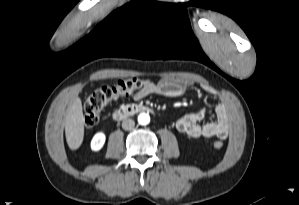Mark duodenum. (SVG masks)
<instances>
[{"mask_svg":"<svg viewBox=\"0 0 299 205\" xmlns=\"http://www.w3.org/2000/svg\"><path fill=\"white\" fill-rule=\"evenodd\" d=\"M153 110L143 104H126L115 110L112 114L113 119L123 120L137 113H150Z\"/></svg>","mask_w":299,"mask_h":205,"instance_id":"1","label":"duodenum"}]
</instances>
